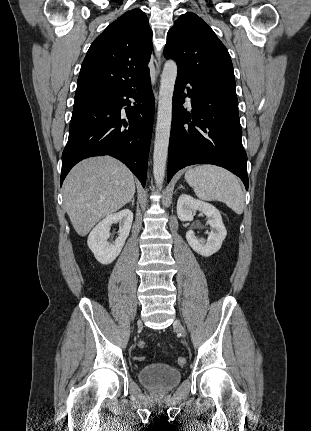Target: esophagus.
<instances>
[{
	"label": "esophagus",
	"mask_w": 311,
	"mask_h": 431,
	"mask_svg": "<svg viewBox=\"0 0 311 431\" xmlns=\"http://www.w3.org/2000/svg\"><path fill=\"white\" fill-rule=\"evenodd\" d=\"M159 69H160V62L158 63V65L156 67V73H158ZM155 98H156V101H157V98H158L157 92L155 93Z\"/></svg>",
	"instance_id": "obj_1"
}]
</instances>
